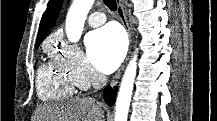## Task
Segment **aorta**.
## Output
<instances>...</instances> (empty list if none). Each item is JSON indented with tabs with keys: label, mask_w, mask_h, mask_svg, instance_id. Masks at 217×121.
<instances>
[{
	"label": "aorta",
	"mask_w": 217,
	"mask_h": 121,
	"mask_svg": "<svg viewBox=\"0 0 217 121\" xmlns=\"http://www.w3.org/2000/svg\"><path fill=\"white\" fill-rule=\"evenodd\" d=\"M94 0H74L66 17V34L71 42L79 41L86 17ZM137 73V55L130 60L118 92L114 121H127L133 93L134 81Z\"/></svg>",
	"instance_id": "obj_1"
}]
</instances>
